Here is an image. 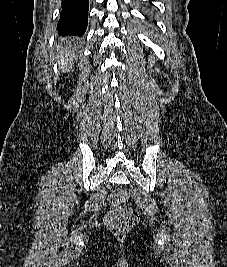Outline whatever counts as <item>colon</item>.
<instances>
[{
	"instance_id": "obj_1",
	"label": "colon",
	"mask_w": 227,
	"mask_h": 267,
	"mask_svg": "<svg viewBox=\"0 0 227 267\" xmlns=\"http://www.w3.org/2000/svg\"><path fill=\"white\" fill-rule=\"evenodd\" d=\"M127 193L124 190H115L110 197L111 209L105 216L107 229L116 236L128 233L139 220L138 212L127 206Z\"/></svg>"
}]
</instances>
